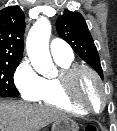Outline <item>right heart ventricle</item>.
I'll return each mask as SVG.
<instances>
[{
	"label": "right heart ventricle",
	"mask_w": 117,
	"mask_h": 131,
	"mask_svg": "<svg viewBox=\"0 0 117 131\" xmlns=\"http://www.w3.org/2000/svg\"><path fill=\"white\" fill-rule=\"evenodd\" d=\"M55 62L60 68V73L56 77L43 79V87L36 101L74 115H86L88 113L86 110L78 107L66 97L62 86L61 75L65 70L75 66L74 59H56Z\"/></svg>",
	"instance_id": "e07e8e85"
}]
</instances>
